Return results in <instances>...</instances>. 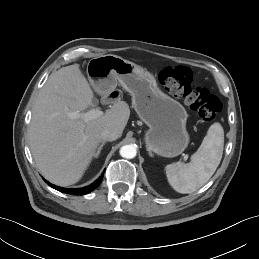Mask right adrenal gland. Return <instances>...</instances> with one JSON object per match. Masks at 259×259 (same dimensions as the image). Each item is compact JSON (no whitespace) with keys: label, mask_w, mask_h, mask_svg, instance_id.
I'll return each mask as SVG.
<instances>
[{"label":"right adrenal gland","mask_w":259,"mask_h":259,"mask_svg":"<svg viewBox=\"0 0 259 259\" xmlns=\"http://www.w3.org/2000/svg\"><path fill=\"white\" fill-rule=\"evenodd\" d=\"M104 145H105V142H102V143L100 144V146L98 147L97 153H96V155H95L96 158H97V157L99 156V154L101 153V150H102V148H103Z\"/></svg>","instance_id":"obj_1"}]
</instances>
